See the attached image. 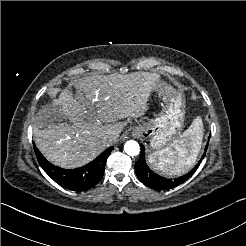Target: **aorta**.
<instances>
[{
    "label": "aorta",
    "instance_id": "1",
    "mask_svg": "<svg viewBox=\"0 0 246 246\" xmlns=\"http://www.w3.org/2000/svg\"><path fill=\"white\" fill-rule=\"evenodd\" d=\"M124 151L129 155V156H137L140 153V146L139 144L134 141L130 140L127 141L124 145Z\"/></svg>",
    "mask_w": 246,
    "mask_h": 246
}]
</instances>
